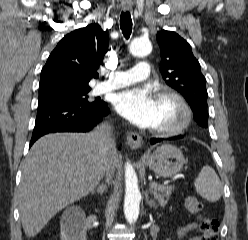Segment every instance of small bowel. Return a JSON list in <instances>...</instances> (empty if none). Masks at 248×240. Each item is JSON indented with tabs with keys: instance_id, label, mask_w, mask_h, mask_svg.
<instances>
[{
	"instance_id": "1",
	"label": "small bowel",
	"mask_w": 248,
	"mask_h": 240,
	"mask_svg": "<svg viewBox=\"0 0 248 240\" xmlns=\"http://www.w3.org/2000/svg\"><path fill=\"white\" fill-rule=\"evenodd\" d=\"M195 228H196L195 223H191V224H188L184 227H180L177 231V236L182 238V237L186 236L187 234H189L190 232H192ZM191 240H200V238L198 236H195Z\"/></svg>"
}]
</instances>
